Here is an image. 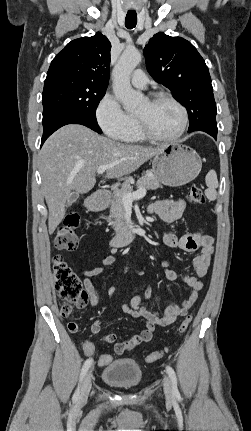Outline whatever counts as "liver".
Segmentation results:
<instances>
[{
  "mask_svg": "<svg viewBox=\"0 0 251 431\" xmlns=\"http://www.w3.org/2000/svg\"><path fill=\"white\" fill-rule=\"evenodd\" d=\"M164 147L119 143L77 124L57 130L46 140L39 154L42 189L49 210V233L52 234L65 217L69 197L73 193H87L94 187L100 166H111L106 178L122 179Z\"/></svg>",
  "mask_w": 251,
  "mask_h": 431,
  "instance_id": "liver-1",
  "label": "liver"
}]
</instances>
